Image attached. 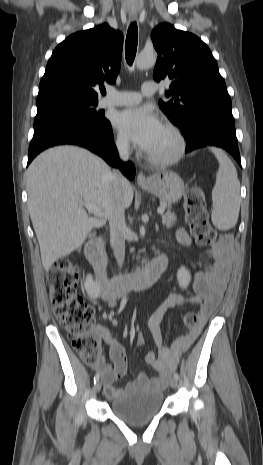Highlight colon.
<instances>
[{"label": "colon", "mask_w": 263, "mask_h": 465, "mask_svg": "<svg viewBox=\"0 0 263 465\" xmlns=\"http://www.w3.org/2000/svg\"><path fill=\"white\" fill-rule=\"evenodd\" d=\"M186 222L200 246H211L216 233L211 228L203 191L190 188L185 194ZM50 300L58 322L72 336L73 347L82 359L91 366L101 365V345L94 328L95 311L78 293L79 267L68 258L58 260L47 275ZM200 314L188 312L183 318L186 329L198 328Z\"/></svg>", "instance_id": "obj_1"}]
</instances>
